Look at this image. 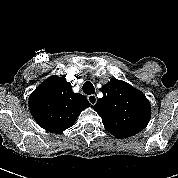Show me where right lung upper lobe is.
I'll list each match as a JSON object with an SVG mask.
<instances>
[{"instance_id": "cb5924a9", "label": "right lung upper lobe", "mask_w": 178, "mask_h": 178, "mask_svg": "<svg viewBox=\"0 0 178 178\" xmlns=\"http://www.w3.org/2000/svg\"><path fill=\"white\" fill-rule=\"evenodd\" d=\"M89 106L85 96L72 91L65 75L49 77L29 98L30 112L35 121L43 129L54 133L73 126L76 117Z\"/></svg>"}]
</instances>
